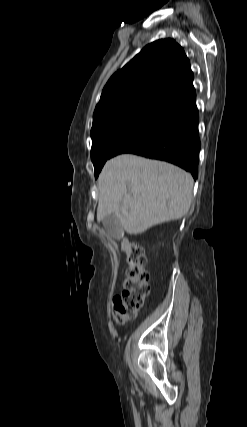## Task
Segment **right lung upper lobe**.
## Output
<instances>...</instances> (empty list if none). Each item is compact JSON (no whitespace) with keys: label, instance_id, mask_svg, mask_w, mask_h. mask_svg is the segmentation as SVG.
<instances>
[{"label":"right lung upper lobe","instance_id":"1","mask_svg":"<svg viewBox=\"0 0 247 427\" xmlns=\"http://www.w3.org/2000/svg\"><path fill=\"white\" fill-rule=\"evenodd\" d=\"M193 78L189 59L180 45L173 39L152 42L108 80L93 121L128 107L157 108L170 97L192 87Z\"/></svg>","mask_w":247,"mask_h":427}]
</instances>
